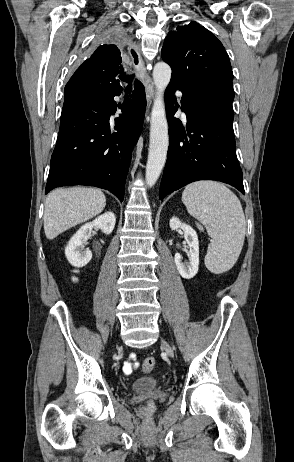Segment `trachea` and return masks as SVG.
Returning <instances> with one entry per match:
<instances>
[{
  "label": "trachea",
  "instance_id": "trachea-1",
  "mask_svg": "<svg viewBox=\"0 0 294 462\" xmlns=\"http://www.w3.org/2000/svg\"><path fill=\"white\" fill-rule=\"evenodd\" d=\"M120 78H121V80H123V81H125L127 83H131L132 80H133V75H123Z\"/></svg>",
  "mask_w": 294,
  "mask_h": 462
}]
</instances>
